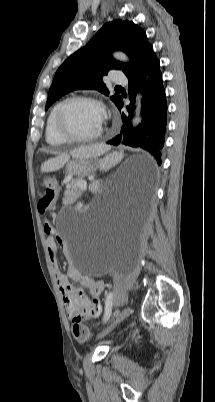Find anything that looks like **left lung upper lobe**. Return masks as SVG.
<instances>
[{"label":"left lung upper lobe","mask_w":215,"mask_h":402,"mask_svg":"<svg viewBox=\"0 0 215 402\" xmlns=\"http://www.w3.org/2000/svg\"><path fill=\"white\" fill-rule=\"evenodd\" d=\"M114 50L124 51L131 62L113 59ZM156 57L146 33L132 21L117 19L106 23L86 46L68 57L57 70L49 90L46 110L61 96L78 89H94L109 95L103 76L112 69L122 70L128 77L139 71L149 60ZM110 99L117 104L121 96Z\"/></svg>","instance_id":"obj_1"}]
</instances>
